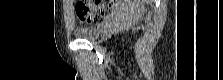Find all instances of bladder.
<instances>
[{"label": "bladder", "instance_id": "1", "mask_svg": "<svg viewBox=\"0 0 223 80\" xmlns=\"http://www.w3.org/2000/svg\"><path fill=\"white\" fill-rule=\"evenodd\" d=\"M106 29L105 23L92 26H78L74 29V36L79 39L96 40L100 38Z\"/></svg>", "mask_w": 223, "mask_h": 80}]
</instances>
